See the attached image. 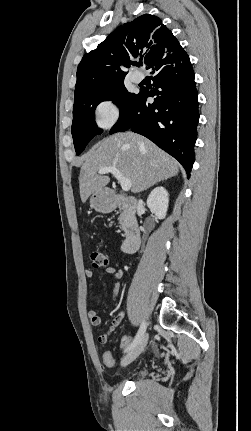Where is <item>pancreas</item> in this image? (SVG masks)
<instances>
[{"label": "pancreas", "instance_id": "1", "mask_svg": "<svg viewBox=\"0 0 251 431\" xmlns=\"http://www.w3.org/2000/svg\"><path fill=\"white\" fill-rule=\"evenodd\" d=\"M126 211H123L121 214H120V216L118 217V221H119V224H120V226L122 227V228H124V226H125V217H126Z\"/></svg>", "mask_w": 251, "mask_h": 431}]
</instances>
